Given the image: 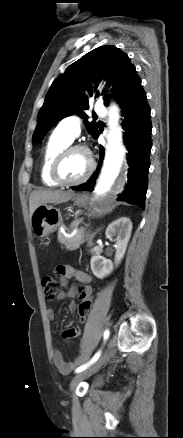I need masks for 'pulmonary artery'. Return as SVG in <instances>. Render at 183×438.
<instances>
[{
  "label": "pulmonary artery",
  "mask_w": 183,
  "mask_h": 438,
  "mask_svg": "<svg viewBox=\"0 0 183 438\" xmlns=\"http://www.w3.org/2000/svg\"><path fill=\"white\" fill-rule=\"evenodd\" d=\"M94 110L97 114H105V110L101 101H97L94 105ZM56 130L67 138L74 140L80 133V119L76 115L68 116L62 119Z\"/></svg>",
  "instance_id": "pulmonary-artery-1"
}]
</instances>
